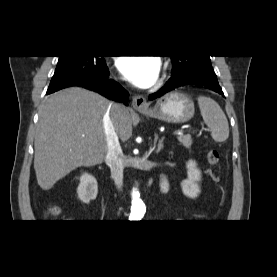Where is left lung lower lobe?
<instances>
[{
    "instance_id": "obj_1",
    "label": "left lung lower lobe",
    "mask_w": 277,
    "mask_h": 277,
    "mask_svg": "<svg viewBox=\"0 0 277 277\" xmlns=\"http://www.w3.org/2000/svg\"><path fill=\"white\" fill-rule=\"evenodd\" d=\"M190 84L202 85L205 88L224 96L214 72H193L186 75L172 76L164 87H162L158 92L151 94L149 98L150 100H153L178 87Z\"/></svg>"
}]
</instances>
